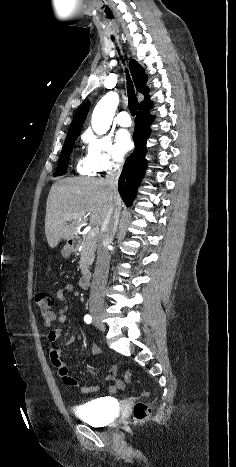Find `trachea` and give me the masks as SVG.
I'll return each instance as SVG.
<instances>
[{
	"instance_id": "1",
	"label": "trachea",
	"mask_w": 236,
	"mask_h": 467,
	"mask_svg": "<svg viewBox=\"0 0 236 467\" xmlns=\"http://www.w3.org/2000/svg\"><path fill=\"white\" fill-rule=\"evenodd\" d=\"M112 40H113V38H112ZM127 91H128L129 111H130L132 116H135V114L137 112V109H138V100H137L135 92H134V86H133L132 81H131L128 74H127Z\"/></svg>"
}]
</instances>
